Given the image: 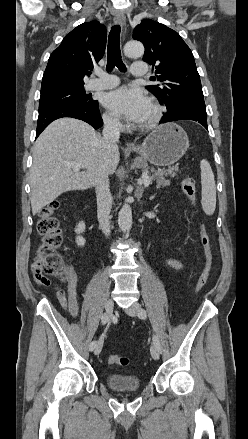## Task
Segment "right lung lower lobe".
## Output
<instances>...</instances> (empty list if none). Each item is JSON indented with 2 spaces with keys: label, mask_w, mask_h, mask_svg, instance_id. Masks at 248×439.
Returning a JSON list of instances; mask_svg holds the SVG:
<instances>
[{
  "label": "right lung lower lobe",
  "mask_w": 248,
  "mask_h": 439,
  "mask_svg": "<svg viewBox=\"0 0 248 439\" xmlns=\"http://www.w3.org/2000/svg\"><path fill=\"white\" fill-rule=\"evenodd\" d=\"M98 107V102L92 106H85L83 104L66 105L39 113L36 138L52 121L62 117H72L80 119L87 122L95 129H98L102 126L103 123Z\"/></svg>",
  "instance_id": "1"
}]
</instances>
